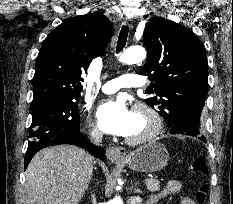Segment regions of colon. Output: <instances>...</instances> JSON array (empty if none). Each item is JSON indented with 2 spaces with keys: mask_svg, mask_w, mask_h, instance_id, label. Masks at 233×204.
I'll return each instance as SVG.
<instances>
[{
  "mask_svg": "<svg viewBox=\"0 0 233 204\" xmlns=\"http://www.w3.org/2000/svg\"><path fill=\"white\" fill-rule=\"evenodd\" d=\"M190 171L193 174L205 176L208 174L209 167L207 161L204 158L196 159L190 166ZM209 193V185L207 183H203L199 185L195 192L194 203L195 204H205L207 201Z\"/></svg>",
  "mask_w": 233,
  "mask_h": 204,
  "instance_id": "1",
  "label": "colon"
}]
</instances>
